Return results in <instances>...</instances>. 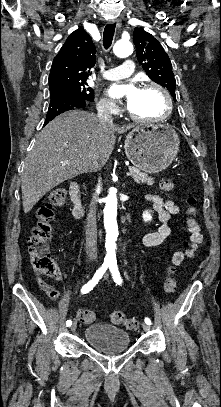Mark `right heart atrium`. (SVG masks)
I'll list each match as a JSON object with an SVG mask.
<instances>
[{"label": "right heart atrium", "instance_id": "d8ad5b80", "mask_svg": "<svg viewBox=\"0 0 221 407\" xmlns=\"http://www.w3.org/2000/svg\"><path fill=\"white\" fill-rule=\"evenodd\" d=\"M97 110L100 113H107V114H117L118 113V107L116 106L115 103H113L111 100L108 98H101L98 103H97Z\"/></svg>", "mask_w": 221, "mask_h": 407}]
</instances>
